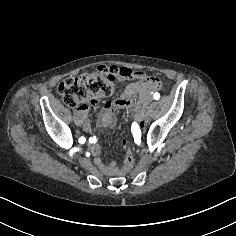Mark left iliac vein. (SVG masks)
Masks as SVG:
<instances>
[{
  "instance_id": "obj_1",
  "label": "left iliac vein",
  "mask_w": 236,
  "mask_h": 236,
  "mask_svg": "<svg viewBox=\"0 0 236 236\" xmlns=\"http://www.w3.org/2000/svg\"><path fill=\"white\" fill-rule=\"evenodd\" d=\"M144 118H149V113H144Z\"/></svg>"
}]
</instances>
